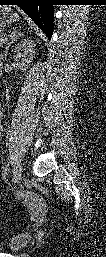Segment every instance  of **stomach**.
Wrapping results in <instances>:
<instances>
[{"label":"stomach","instance_id":"0dacf381","mask_svg":"<svg viewBox=\"0 0 106 257\" xmlns=\"http://www.w3.org/2000/svg\"><path fill=\"white\" fill-rule=\"evenodd\" d=\"M18 20V15L13 12L11 7L2 6L1 7V17H0V25L5 27L7 25H11L12 23Z\"/></svg>","mask_w":106,"mask_h":257}]
</instances>
